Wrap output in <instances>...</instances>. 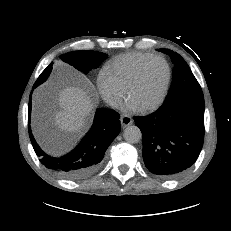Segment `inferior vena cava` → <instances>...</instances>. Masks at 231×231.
<instances>
[{"instance_id":"inferior-vena-cava-1","label":"inferior vena cava","mask_w":231,"mask_h":231,"mask_svg":"<svg viewBox=\"0 0 231 231\" xmlns=\"http://www.w3.org/2000/svg\"><path fill=\"white\" fill-rule=\"evenodd\" d=\"M104 101L109 104L110 106L117 108L119 105V102L112 96H107L104 98Z\"/></svg>"}]
</instances>
